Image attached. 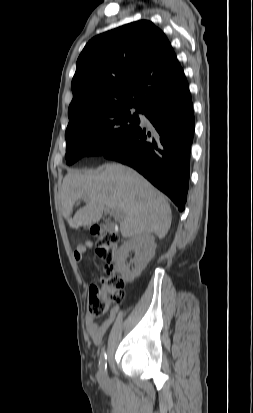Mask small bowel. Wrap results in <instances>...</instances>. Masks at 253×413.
Masks as SVG:
<instances>
[{
	"label": "small bowel",
	"instance_id": "obj_1",
	"mask_svg": "<svg viewBox=\"0 0 253 413\" xmlns=\"http://www.w3.org/2000/svg\"><path fill=\"white\" fill-rule=\"evenodd\" d=\"M91 248V244L90 243H82L79 244L74 253H73V257L74 260L80 264V265H84V254ZM118 312V307L115 306L110 314L108 315V317L102 321V322H98L97 318L91 317V316H87L85 323H86V329L88 334L90 335L92 341L95 344H99L103 337L105 336L106 332L108 331V329L110 328V326L113 324L116 315Z\"/></svg>",
	"mask_w": 253,
	"mask_h": 413
}]
</instances>
